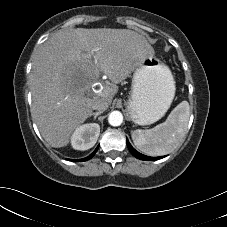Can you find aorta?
Listing matches in <instances>:
<instances>
[{
    "mask_svg": "<svg viewBox=\"0 0 227 227\" xmlns=\"http://www.w3.org/2000/svg\"><path fill=\"white\" fill-rule=\"evenodd\" d=\"M108 122L112 126H120L123 122V115L120 111H113L108 116Z\"/></svg>",
    "mask_w": 227,
    "mask_h": 227,
    "instance_id": "aorta-1",
    "label": "aorta"
}]
</instances>
